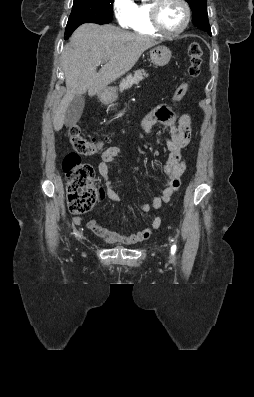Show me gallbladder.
I'll return each instance as SVG.
<instances>
[{
    "instance_id": "gallbladder-1",
    "label": "gallbladder",
    "mask_w": 254,
    "mask_h": 397,
    "mask_svg": "<svg viewBox=\"0 0 254 397\" xmlns=\"http://www.w3.org/2000/svg\"><path fill=\"white\" fill-rule=\"evenodd\" d=\"M84 103L85 98L83 95H76L71 100L67 107L64 118V124L67 127L74 126L79 121L84 109Z\"/></svg>"
}]
</instances>
